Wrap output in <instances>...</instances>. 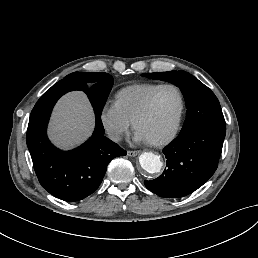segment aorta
<instances>
[{
	"mask_svg": "<svg viewBox=\"0 0 258 258\" xmlns=\"http://www.w3.org/2000/svg\"><path fill=\"white\" fill-rule=\"evenodd\" d=\"M139 164L143 170L150 174L161 171L163 163L160 156L152 152H144L139 157Z\"/></svg>",
	"mask_w": 258,
	"mask_h": 258,
	"instance_id": "762f6f07",
	"label": "aorta"
}]
</instances>
